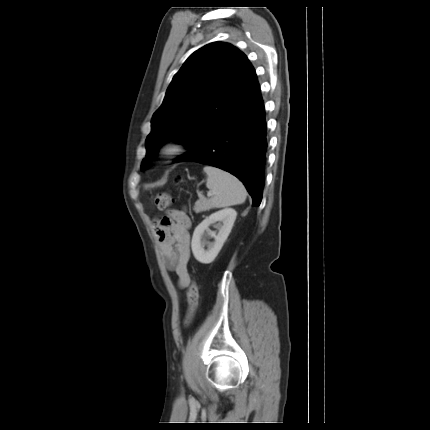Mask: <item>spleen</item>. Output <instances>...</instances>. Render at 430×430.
<instances>
[{
  "mask_svg": "<svg viewBox=\"0 0 430 430\" xmlns=\"http://www.w3.org/2000/svg\"><path fill=\"white\" fill-rule=\"evenodd\" d=\"M203 171L207 174V188L214 192V197L211 199L213 207L224 208L245 202L247 192L237 177L209 165L205 166Z\"/></svg>",
  "mask_w": 430,
  "mask_h": 430,
  "instance_id": "spleen-1",
  "label": "spleen"
}]
</instances>
